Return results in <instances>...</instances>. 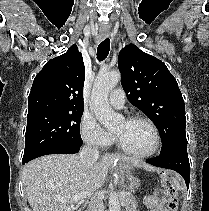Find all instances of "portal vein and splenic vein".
<instances>
[{"instance_id": "portal-vein-and-splenic-vein-1", "label": "portal vein and splenic vein", "mask_w": 209, "mask_h": 211, "mask_svg": "<svg viewBox=\"0 0 209 211\" xmlns=\"http://www.w3.org/2000/svg\"><path fill=\"white\" fill-rule=\"evenodd\" d=\"M125 194H126L125 192L120 193L121 196H125ZM88 196H89L88 193L83 192V193H79V194L72 196L70 199H60L59 198L58 200L61 202L73 203V202H77L79 200H83V199L87 198Z\"/></svg>"}]
</instances>
